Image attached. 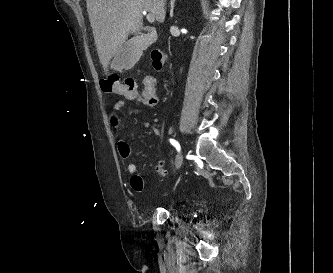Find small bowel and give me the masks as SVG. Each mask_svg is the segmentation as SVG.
<instances>
[{"instance_id": "obj_1", "label": "small bowel", "mask_w": 333, "mask_h": 273, "mask_svg": "<svg viewBox=\"0 0 333 273\" xmlns=\"http://www.w3.org/2000/svg\"><path fill=\"white\" fill-rule=\"evenodd\" d=\"M156 91L157 84H155L154 78L151 76H145L143 79L142 90H138L136 95H129L127 99L129 102H138L143 106L152 108L157 104ZM124 105L125 102L120 101L113 106L110 112V124L115 129L119 128V113L124 107ZM141 125L145 128H148L150 126V123L148 121H142ZM117 148L119 155L122 159L128 160L131 158V148L125 140L119 139L117 142ZM127 172L131 175V188L135 192H142L144 190V182L142 177L136 174L137 166L134 163H129L127 165Z\"/></svg>"}]
</instances>
